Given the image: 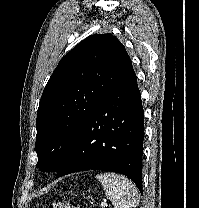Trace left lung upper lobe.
<instances>
[{
	"instance_id": "1",
	"label": "left lung upper lobe",
	"mask_w": 199,
	"mask_h": 208,
	"mask_svg": "<svg viewBox=\"0 0 199 208\" xmlns=\"http://www.w3.org/2000/svg\"><path fill=\"white\" fill-rule=\"evenodd\" d=\"M131 68L125 47L111 34L87 37L60 60L37 112L41 171L59 168L88 117Z\"/></svg>"
}]
</instances>
